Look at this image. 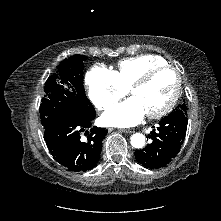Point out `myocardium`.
Here are the masks:
<instances>
[{
  "mask_svg": "<svg viewBox=\"0 0 221 221\" xmlns=\"http://www.w3.org/2000/svg\"><path fill=\"white\" fill-rule=\"evenodd\" d=\"M163 70H171L175 73L177 78V83L175 90L173 92L172 97L168 101V103L160 110L153 112V113H147V117L150 119H159L167 115L176 105L182 88V76L181 73L178 71V69L172 65L164 64V65H158L154 66L150 69H148L143 75H141L129 88V92L132 94V92L138 88H141L145 86L147 83L150 82V80L159 72Z\"/></svg>",
  "mask_w": 221,
  "mask_h": 221,
  "instance_id": "obj_1",
  "label": "myocardium"
}]
</instances>
